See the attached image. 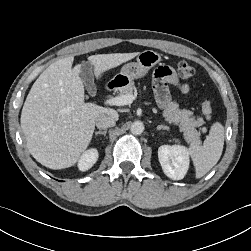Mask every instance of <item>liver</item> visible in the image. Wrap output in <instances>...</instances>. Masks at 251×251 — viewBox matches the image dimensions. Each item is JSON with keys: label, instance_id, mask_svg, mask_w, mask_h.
Returning <instances> with one entry per match:
<instances>
[{"label": "liver", "instance_id": "1", "mask_svg": "<svg viewBox=\"0 0 251 251\" xmlns=\"http://www.w3.org/2000/svg\"><path fill=\"white\" fill-rule=\"evenodd\" d=\"M139 53L98 54L88 57L97 79ZM74 57L51 64L37 78L21 113V128L30 154L43 166L64 169L73 166L89 146L96 118L117 112L84 103L80 65L72 69Z\"/></svg>", "mask_w": 251, "mask_h": 251}]
</instances>
